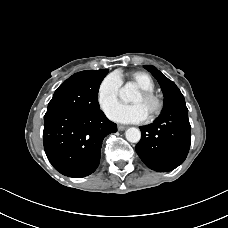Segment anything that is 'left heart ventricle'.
Returning a JSON list of instances; mask_svg holds the SVG:
<instances>
[{
  "instance_id": "b2bd125f",
  "label": "left heart ventricle",
  "mask_w": 228,
  "mask_h": 228,
  "mask_svg": "<svg viewBox=\"0 0 228 228\" xmlns=\"http://www.w3.org/2000/svg\"><path fill=\"white\" fill-rule=\"evenodd\" d=\"M132 102L134 104H140L144 110L146 111L147 115L153 110L154 104L151 101L145 100L140 92L133 98Z\"/></svg>"
}]
</instances>
